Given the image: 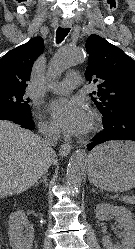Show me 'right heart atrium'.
I'll return each instance as SVG.
<instances>
[{
	"instance_id": "1",
	"label": "right heart atrium",
	"mask_w": 135,
	"mask_h": 249,
	"mask_svg": "<svg viewBox=\"0 0 135 249\" xmlns=\"http://www.w3.org/2000/svg\"><path fill=\"white\" fill-rule=\"evenodd\" d=\"M39 126L44 133L55 134L57 132L56 127L46 120H41Z\"/></svg>"
}]
</instances>
